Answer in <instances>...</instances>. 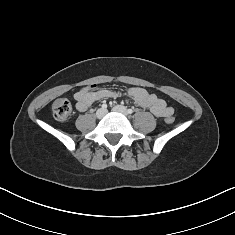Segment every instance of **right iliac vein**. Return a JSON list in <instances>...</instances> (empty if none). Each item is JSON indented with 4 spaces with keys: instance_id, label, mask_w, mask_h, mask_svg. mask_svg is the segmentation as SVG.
<instances>
[{
    "instance_id": "right-iliac-vein-1",
    "label": "right iliac vein",
    "mask_w": 235,
    "mask_h": 235,
    "mask_svg": "<svg viewBox=\"0 0 235 235\" xmlns=\"http://www.w3.org/2000/svg\"><path fill=\"white\" fill-rule=\"evenodd\" d=\"M106 114V110L105 109H98L96 112V117L101 119L102 117H104Z\"/></svg>"
}]
</instances>
